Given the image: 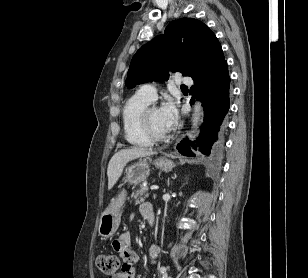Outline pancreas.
Wrapping results in <instances>:
<instances>
[{"label":"pancreas","mask_w":308,"mask_h":278,"mask_svg":"<svg viewBox=\"0 0 308 278\" xmlns=\"http://www.w3.org/2000/svg\"><path fill=\"white\" fill-rule=\"evenodd\" d=\"M148 195V187L140 185V187L134 193H132L131 197L134 199L135 204L137 205L140 203L138 199L143 201L146 197H148Z\"/></svg>","instance_id":"obj_1"}]
</instances>
